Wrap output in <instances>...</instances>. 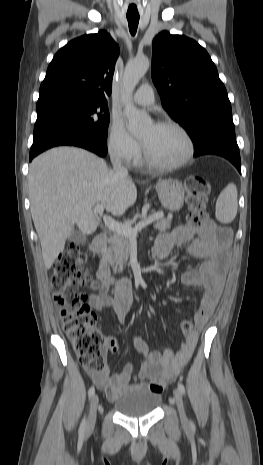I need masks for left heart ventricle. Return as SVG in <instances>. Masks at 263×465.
<instances>
[{
    "mask_svg": "<svg viewBox=\"0 0 263 465\" xmlns=\"http://www.w3.org/2000/svg\"><path fill=\"white\" fill-rule=\"evenodd\" d=\"M140 138L151 156L161 163L176 162L187 150L184 137L174 128L150 125Z\"/></svg>",
    "mask_w": 263,
    "mask_h": 465,
    "instance_id": "obj_1",
    "label": "left heart ventricle"
}]
</instances>
